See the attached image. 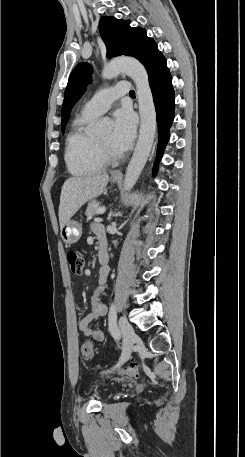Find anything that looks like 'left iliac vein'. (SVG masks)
Instances as JSON below:
<instances>
[{"mask_svg": "<svg viewBox=\"0 0 245 457\" xmlns=\"http://www.w3.org/2000/svg\"><path fill=\"white\" fill-rule=\"evenodd\" d=\"M119 329L123 336V350H122V362H124L131 353L132 344L134 342V330L132 325L126 320L125 317L121 316L119 319Z\"/></svg>", "mask_w": 245, "mask_h": 457, "instance_id": "left-iliac-vein-1", "label": "left iliac vein"}]
</instances>
